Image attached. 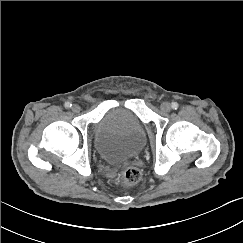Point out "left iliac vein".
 <instances>
[{"mask_svg": "<svg viewBox=\"0 0 243 243\" xmlns=\"http://www.w3.org/2000/svg\"><path fill=\"white\" fill-rule=\"evenodd\" d=\"M160 109H161L163 112L167 113V112H169V111L171 110V105H170V103H168V102H163V103L161 104V106H160Z\"/></svg>", "mask_w": 243, "mask_h": 243, "instance_id": "1", "label": "left iliac vein"}]
</instances>
